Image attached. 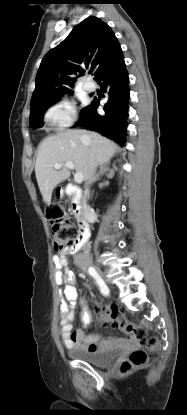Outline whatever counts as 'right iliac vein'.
I'll list each match as a JSON object with an SVG mask.
<instances>
[{"label":"right iliac vein","instance_id":"obj_1","mask_svg":"<svg viewBox=\"0 0 187 415\" xmlns=\"http://www.w3.org/2000/svg\"><path fill=\"white\" fill-rule=\"evenodd\" d=\"M96 271L105 281H107V279L105 278V274L102 272V270L99 267H96Z\"/></svg>","mask_w":187,"mask_h":415}]
</instances>
